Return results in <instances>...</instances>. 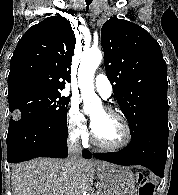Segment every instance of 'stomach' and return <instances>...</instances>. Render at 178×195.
Masks as SVG:
<instances>
[{"label": "stomach", "mask_w": 178, "mask_h": 195, "mask_svg": "<svg viewBox=\"0 0 178 195\" xmlns=\"http://www.w3.org/2000/svg\"><path fill=\"white\" fill-rule=\"evenodd\" d=\"M100 195H136L135 174L127 167L110 165L99 169Z\"/></svg>", "instance_id": "stomach-1"}]
</instances>
